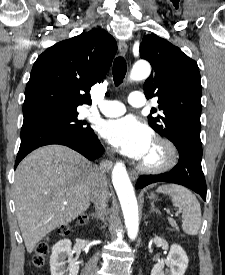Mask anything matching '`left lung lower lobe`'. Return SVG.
Here are the masks:
<instances>
[{"instance_id": "obj_1", "label": "left lung lower lobe", "mask_w": 225, "mask_h": 275, "mask_svg": "<svg viewBox=\"0 0 225 275\" xmlns=\"http://www.w3.org/2000/svg\"><path fill=\"white\" fill-rule=\"evenodd\" d=\"M179 151V162L169 172L159 175H143L136 183L143 188L155 182H170L186 186L206 200V183L201 167L202 146L199 142H185L176 146Z\"/></svg>"}]
</instances>
